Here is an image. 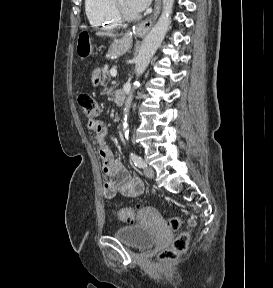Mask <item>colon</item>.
<instances>
[{"label": "colon", "instance_id": "5ec220e1", "mask_svg": "<svg viewBox=\"0 0 273 288\" xmlns=\"http://www.w3.org/2000/svg\"><path fill=\"white\" fill-rule=\"evenodd\" d=\"M90 46L87 35H81L79 38L78 52L81 56L86 57L89 54ZM78 104L82 113L90 119H96L99 115V107L94 98L87 93H80L78 95ZM118 218L127 223H132L135 218L134 210L132 208H119L117 210ZM195 220L191 217L189 225L192 227ZM181 226L180 217H172L169 220V227L172 230H178ZM190 238L189 231L180 233L173 241L170 248L162 251L159 254V260L163 263H169L175 260L179 255L184 253L187 249Z\"/></svg>", "mask_w": 273, "mask_h": 288}]
</instances>
